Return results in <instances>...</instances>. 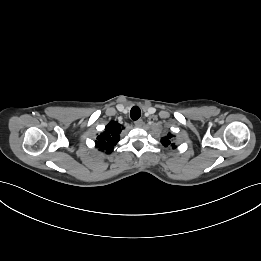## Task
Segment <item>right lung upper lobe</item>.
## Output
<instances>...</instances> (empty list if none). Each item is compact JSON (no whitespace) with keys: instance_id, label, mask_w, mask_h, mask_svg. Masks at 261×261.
I'll return each mask as SVG.
<instances>
[{"instance_id":"1","label":"right lung upper lobe","mask_w":261,"mask_h":261,"mask_svg":"<svg viewBox=\"0 0 261 261\" xmlns=\"http://www.w3.org/2000/svg\"><path fill=\"white\" fill-rule=\"evenodd\" d=\"M123 127L116 122L111 121L105 128V131L101 133L96 140V148H99L100 151L111 153L114 145L117 144V142L120 139L119 134L121 133Z\"/></svg>"}]
</instances>
